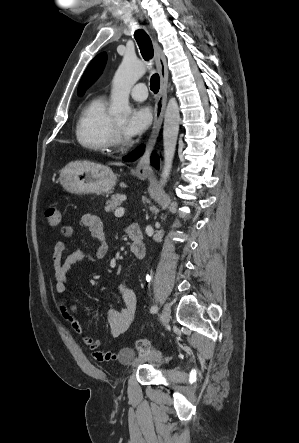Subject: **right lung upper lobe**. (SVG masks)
I'll use <instances>...</instances> for the list:
<instances>
[{
	"label": "right lung upper lobe",
	"mask_w": 299,
	"mask_h": 443,
	"mask_svg": "<svg viewBox=\"0 0 299 443\" xmlns=\"http://www.w3.org/2000/svg\"><path fill=\"white\" fill-rule=\"evenodd\" d=\"M106 54L105 53H101L99 54L88 66L87 70L85 71L79 88H78V95L82 96L85 92V90L91 86L96 80L97 78L100 76L104 65L106 63Z\"/></svg>",
	"instance_id": "1"
}]
</instances>
